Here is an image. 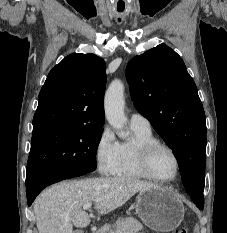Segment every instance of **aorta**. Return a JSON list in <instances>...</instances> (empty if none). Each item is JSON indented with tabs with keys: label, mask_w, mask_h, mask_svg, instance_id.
<instances>
[{
	"label": "aorta",
	"mask_w": 227,
	"mask_h": 233,
	"mask_svg": "<svg viewBox=\"0 0 227 233\" xmlns=\"http://www.w3.org/2000/svg\"><path fill=\"white\" fill-rule=\"evenodd\" d=\"M124 106V85L120 80H114L105 93L104 107L108 123L117 131L120 138L128 136L124 131L127 122Z\"/></svg>",
	"instance_id": "1"
}]
</instances>
